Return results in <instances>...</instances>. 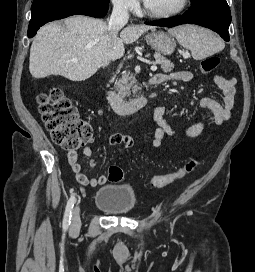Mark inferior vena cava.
Segmentation results:
<instances>
[{
    "mask_svg": "<svg viewBox=\"0 0 255 272\" xmlns=\"http://www.w3.org/2000/svg\"><path fill=\"white\" fill-rule=\"evenodd\" d=\"M129 13L126 3L118 1L113 5V11L108 22V30L112 39L117 38L119 30L128 22Z\"/></svg>",
    "mask_w": 255,
    "mask_h": 272,
    "instance_id": "602c4592",
    "label": "inferior vena cava"
}]
</instances>
